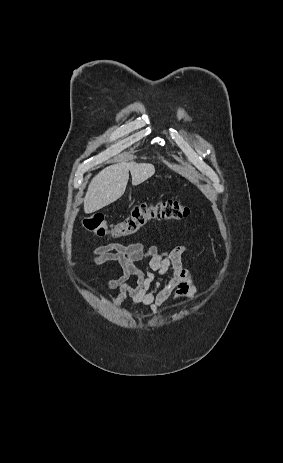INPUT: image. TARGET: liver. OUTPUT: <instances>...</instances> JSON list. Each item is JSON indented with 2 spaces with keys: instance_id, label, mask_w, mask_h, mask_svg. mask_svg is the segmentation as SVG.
I'll use <instances>...</instances> for the list:
<instances>
[{
  "instance_id": "1",
  "label": "liver",
  "mask_w": 283,
  "mask_h": 463,
  "mask_svg": "<svg viewBox=\"0 0 283 463\" xmlns=\"http://www.w3.org/2000/svg\"><path fill=\"white\" fill-rule=\"evenodd\" d=\"M129 171L132 185L136 186L154 175L155 168L149 163L136 162H121L106 167L91 180L88 186L84 198V212L93 213L119 199L126 190Z\"/></svg>"
}]
</instances>
